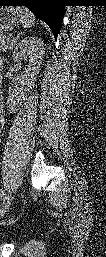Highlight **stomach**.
<instances>
[{
    "instance_id": "1",
    "label": "stomach",
    "mask_w": 106,
    "mask_h": 257,
    "mask_svg": "<svg viewBox=\"0 0 106 257\" xmlns=\"http://www.w3.org/2000/svg\"><path fill=\"white\" fill-rule=\"evenodd\" d=\"M21 8L2 7L0 9V32H8L21 22Z\"/></svg>"
}]
</instances>
